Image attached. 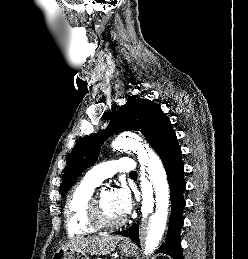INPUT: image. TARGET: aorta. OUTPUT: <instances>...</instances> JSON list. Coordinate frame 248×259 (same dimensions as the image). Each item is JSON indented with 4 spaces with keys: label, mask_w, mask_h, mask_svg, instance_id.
Instances as JSON below:
<instances>
[{
    "label": "aorta",
    "mask_w": 248,
    "mask_h": 259,
    "mask_svg": "<svg viewBox=\"0 0 248 259\" xmlns=\"http://www.w3.org/2000/svg\"><path fill=\"white\" fill-rule=\"evenodd\" d=\"M112 147L134 151L141 164L142 232L145 233V255L151 254L158 247L167 223L170 195L166 172L156 153L147 151L136 136L118 137Z\"/></svg>",
    "instance_id": "obj_1"
}]
</instances>
